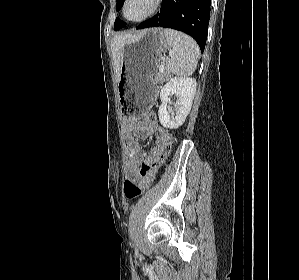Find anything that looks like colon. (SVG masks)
I'll return each mask as SVG.
<instances>
[{"label":"colon","instance_id":"colon-1","mask_svg":"<svg viewBox=\"0 0 299 280\" xmlns=\"http://www.w3.org/2000/svg\"><path fill=\"white\" fill-rule=\"evenodd\" d=\"M156 119L154 113L145 116L144 122H151ZM172 139L162 148L160 155L149 162H144L139 168V180L127 179L124 184V194L128 200L138 197L151 183L158 168L165 162L172 148Z\"/></svg>","mask_w":299,"mask_h":280}]
</instances>
